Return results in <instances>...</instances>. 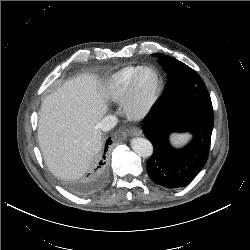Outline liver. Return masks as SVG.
<instances>
[{
    "instance_id": "1",
    "label": "liver",
    "mask_w": 250,
    "mask_h": 250,
    "mask_svg": "<svg viewBox=\"0 0 250 250\" xmlns=\"http://www.w3.org/2000/svg\"><path fill=\"white\" fill-rule=\"evenodd\" d=\"M106 93L94 75L66 81L42 102L38 141L49 170L63 179H77L101 150L98 124L108 107Z\"/></svg>"
}]
</instances>
